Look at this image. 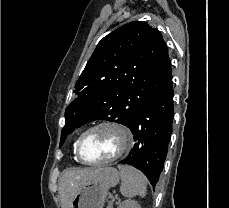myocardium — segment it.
Segmentation results:
<instances>
[{
  "label": "myocardium",
  "instance_id": "1",
  "mask_svg": "<svg viewBox=\"0 0 229 208\" xmlns=\"http://www.w3.org/2000/svg\"><path fill=\"white\" fill-rule=\"evenodd\" d=\"M101 127H112L117 129L114 131V134L116 135L115 141L116 143H118V147H122V148L117 154L109 157V160H87V157H84L83 148H82L83 138L88 132L92 130H94L92 133L94 135L95 134L97 135L99 132L97 130L95 131V129ZM100 133L103 135L105 132L102 130ZM132 145H133V136L131 132L124 125L114 121H101L90 126L89 128H87L85 131L81 133V135L78 137L76 142V153H77V158H79L83 163L106 164V163L114 162L119 158H121L122 156H124L128 152V150L132 147Z\"/></svg>",
  "mask_w": 229,
  "mask_h": 208
}]
</instances>
